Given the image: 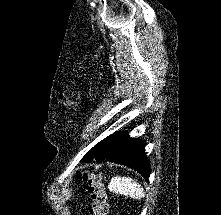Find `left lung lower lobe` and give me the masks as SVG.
<instances>
[{
    "label": "left lung lower lobe",
    "mask_w": 221,
    "mask_h": 215,
    "mask_svg": "<svg viewBox=\"0 0 221 215\" xmlns=\"http://www.w3.org/2000/svg\"><path fill=\"white\" fill-rule=\"evenodd\" d=\"M104 159L133 168L146 180L150 176L149 160L145 155L143 142L130 138L127 132H118L110 136L105 153L95 160Z\"/></svg>",
    "instance_id": "0a47b994"
}]
</instances>
